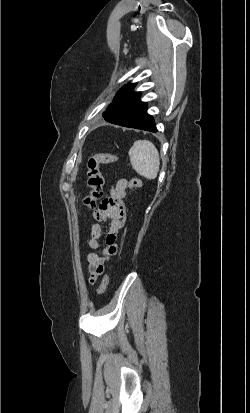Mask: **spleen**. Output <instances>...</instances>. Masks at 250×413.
Instances as JSON below:
<instances>
[{
    "mask_svg": "<svg viewBox=\"0 0 250 413\" xmlns=\"http://www.w3.org/2000/svg\"><path fill=\"white\" fill-rule=\"evenodd\" d=\"M132 168L147 179L157 177L160 159L158 150L148 140H137L129 150Z\"/></svg>",
    "mask_w": 250,
    "mask_h": 413,
    "instance_id": "obj_1",
    "label": "spleen"
}]
</instances>
